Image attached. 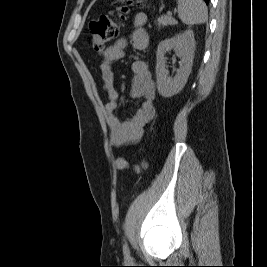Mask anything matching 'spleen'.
I'll use <instances>...</instances> for the list:
<instances>
[{
    "instance_id": "1",
    "label": "spleen",
    "mask_w": 267,
    "mask_h": 267,
    "mask_svg": "<svg viewBox=\"0 0 267 267\" xmlns=\"http://www.w3.org/2000/svg\"><path fill=\"white\" fill-rule=\"evenodd\" d=\"M178 17L187 25L205 23L208 10L203 0H178Z\"/></svg>"
}]
</instances>
